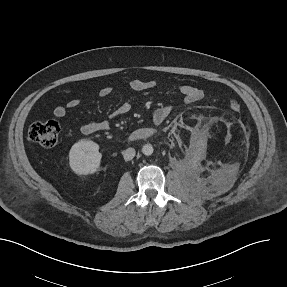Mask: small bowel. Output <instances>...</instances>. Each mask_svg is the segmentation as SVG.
<instances>
[{
    "label": "small bowel",
    "mask_w": 287,
    "mask_h": 287,
    "mask_svg": "<svg viewBox=\"0 0 287 287\" xmlns=\"http://www.w3.org/2000/svg\"><path fill=\"white\" fill-rule=\"evenodd\" d=\"M129 87L134 91H147L155 87V83L150 80L143 79H132L129 82ZM113 92V88L110 86L102 87L99 91L100 96L106 97ZM179 92L183 96L184 102L187 104L196 103L203 99L204 92L202 89L193 85H181L179 87ZM79 101L77 99H71L66 104L57 105L53 113L57 118H63L67 109H72L77 107ZM133 108V102L131 100L123 101L114 111L111 113L110 118L115 119L129 113ZM173 107L171 105H165L157 108L153 113V122L156 126L162 125L166 119L170 116ZM110 128L109 121L100 122H87L80 127L83 134L89 135L99 131H106Z\"/></svg>",
    "instance_id": "1"
}]
</instances>
